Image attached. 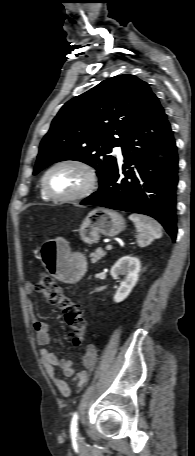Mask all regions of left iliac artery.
<instances>
[{
    "mask_svg": "<svg viewBox=\"0 0 195 456\" xmlns=\"http://www.w3.org/2000/svg\"><path fill=\"white\" fill-rule=\"evenodd\" d=\"M77 419H78V415L75 412L73 414V417H72V420H71V425H70V431H71L72 436H76L77 435V431H78Z\"/></svg>",
    "mask_w": 195,
    "mask_h": 456,
    "instance_id": "44dca946",
    "label": "left iliac artery"
}]
</instances>
